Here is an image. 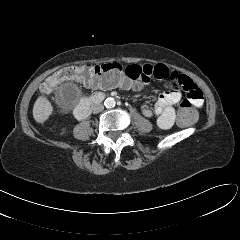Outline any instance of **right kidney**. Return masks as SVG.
I'll return each mask as SVG.
<instances>
[{"instance_id": "1", "label": "right kidney", "mask_w": 240, "mask_h": 240, "mask_svg": "<svg viewBox=\"0 0 240 240\" xmlns=\"http://www.w3.org/2000/svg\"><path fill=\"white\" fill-rule=\"evenodd\" d=\"M65 132V129H63L62 134Z\"/></svg>"}]
</instances>
